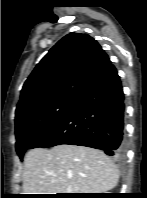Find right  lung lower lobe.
Wrapping results in <instances>:
<instances>
[{
	"label": "right lung lower lobe",
	"instance_id": "right-lung-lower-lobe-1",
	"mask_svg": "<svg viewBox=\"0 0 147 198\" xmlns=\"http://www.w3.org/2000/svg\"><path fill=\"white\" fill-rule=\"evenodd\" d=\"M124 94L116 68L105 74L79 98L62 119L31 148L60 144L87 146L124 157Z\"/></svg>",
	"mask_w": 147,
	"mask_h": 198
}]
</instances>
